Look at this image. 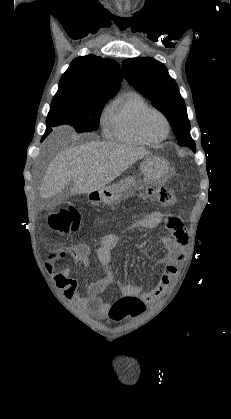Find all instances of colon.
Returning a JSON list of instances; mask_svg holds the SVG:
<instances>
[{
  "mask_svg": "<svg viewBox=\"0 0 231 419\" xmlns=\"http://www.w3.org/2000/svg\"><path fill=\"white\" fill-rule=\"evenodd\" d=\"M144 197L148 202H158L162 206L169 208L168 213H172L171 209L178 204L176 194L169 187H149L145 190ZM49 222L51 228L59 233L74 232L79 227L78 212L72 207L62 208L51 214ZM63 256L64 252L54 253L49 258V263L55 264ZM144 310L145 303L141 298L137 296H123L111 306L109 317L111 320L119 322L127 317H136L143 313Z\"/></svg>",
  "mask_w": 231,
  "mask_h": 419,
  "instance_id": "obj_1",
  "label": "colon"
}]
</instances>
